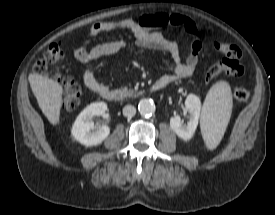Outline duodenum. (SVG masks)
Segmentation results:
<instances>
[{
	"instance_id": "410a0bca",
	"label": "duodenum",
	"mask_w": 275,
	"mask_h": 215,
	"mask_svg": "<svg viewBox=\"0 0 275 215\" xmlns=\"http://www.w3.org/2000/svg\"><path fill=\"white\" fill-rule=\"evenodd\" d=\"M168 81L163 79V78H160L158 79L152 86H151V90L152 91H159V90H162L164 89L167 85H168ZM101 97L105 100H108V101H113V102H116V101H119L121 100L122 98V93L120 91H117V90H111V89H106V90H103L101 93H100Z\"/></svg>"
}]
</instances>
